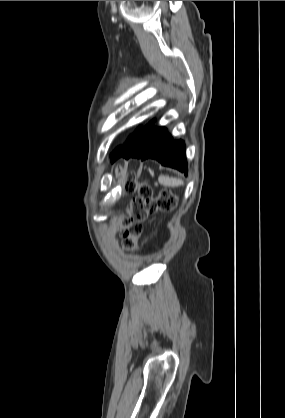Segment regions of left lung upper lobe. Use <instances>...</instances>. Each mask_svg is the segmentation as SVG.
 Listing matches in <instances>:
<instances>
[{"instance_id":"5c2ea615","label":"left lung upper lobe","mask_w":285,"mask_h":418,"mask_svg":"<svg viewBox=\"0 0 285 418\" xmlns=\"http://www.w3.org/2000/svg\"><path fill=\"white\" fill-rule=\"evenodd\" d=\"M141 128H138L127 140V142L123 145L118 147L112 154H111V160L113 161L116 159L122 152H124L130 143L133 141V139L137 136V134L140 132Z\"/></svg>"}]
</instances>
